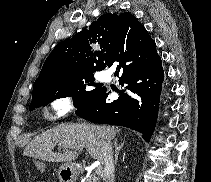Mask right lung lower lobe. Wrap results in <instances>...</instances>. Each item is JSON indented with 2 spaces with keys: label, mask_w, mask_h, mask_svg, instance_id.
Instances as JSON below:
<instances>
[{
  "label": "right lung lower lobe",
  "mask_w": 211,
  "mask_h": 182,
  "mask_svg": "<svg viewBox=\"0 0 211 182\" xmlns=\"http://www.w3.org/2000/svg\"><path fill=\"white\" fill-rule=\"evenodd\" d=\"M116 66L115 75L124 90L110 101L105 87L99 90L76 114L93 123L125 126L142 133L150 141L156 126L164 72L156 43L144 34L118 48L107 67Z\"/></svg>",
  "instance_id": "98d812e1"
}]
</instances>
